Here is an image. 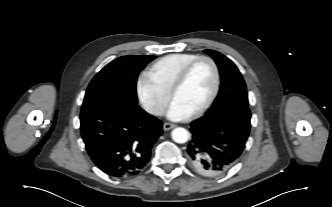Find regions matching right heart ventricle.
<instances>
[{
  "mask_svg": "<svg viewBox=\"0 0 332 207\" xmlns=\"http://www.w3.org/2000/svg\"><path fill=\"white\" fill-rule=\"evenodd\" d=\"M198 56L193 53L166 55L149 67L147 75L162 89L170 92L171 86L182 68Z\"/></svg>",
  "mask_w": 332,
  "mask_h": 207,
  "instance_id": "right-heart-ventricle-1",
  "label": "right heart ventricle"
}]
</instances>
